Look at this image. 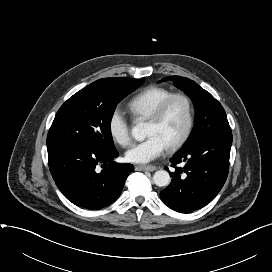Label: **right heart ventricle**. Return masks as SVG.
Here are the masks:
<instances>
[{
  "instance_id": "e07e8e85",
  "label": "right heart ventricle",
  "mask_w": 272,
  "mask_h": 272,
  "mask_svg": "<svg viewBox=\"0 0 272 272\" xmlns=\"http://www.w3.org/2000/svg\"><path fill=\"white\" fill-rule=\"evenodd\" d=\"M172 93L164 87L150 86L134 95L127 107L136 120L147 119L154 109Z\"/></svg>"
}]
</instances>
